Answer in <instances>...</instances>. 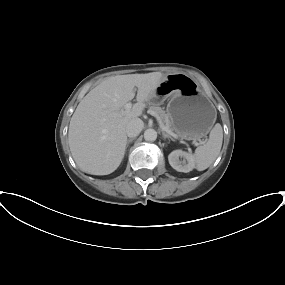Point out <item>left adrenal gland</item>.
<instances>
[{"instance_id":"1","label":"left adrenal gland","mask_w":285,"mask_h":285,"mask_svg":"<svg viewBox=\"0 0 285 285\" xmlns=\"http://www.w3.org/2000/svg\"><path fill=\"white\" fill-rule=\"evenodd\" d=\"M162 136H163L164 139L167 138V139H169V140L174 141V139H173L169 134L165 133L164 131H162Z\"/></svg>"}]
</instances>
